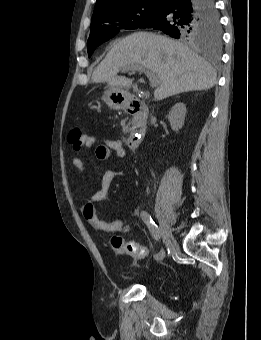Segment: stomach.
<instances>
[{
	"label": "stomach",
	"mask_w": 261,
	"mask_h": 340,
	"mask_svg": "<svg viewBox=\"0 0 261 340\" xmlns=\"http://www.w3.org/2000/svg\"><path fill=\"white\" fill-rule=\"evenodd\" d=\"M128 96V92L121 88L109 87L104 91L102 100L110 109L119 110L126 106Z\"/></svg>",
	"instance_id": "stomach-1"
}]
</instances>
